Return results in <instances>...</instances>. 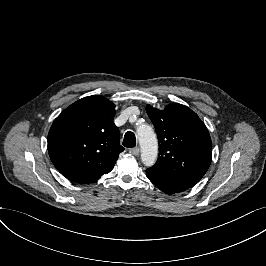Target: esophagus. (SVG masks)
<instances>
[{"label": "esophagus", "instance_id": "obj_1", "mask_svg": "<svg viewBox=\"0 0 266 266\" xmlns=\"http://www.w3.org/2000/svg\"><path fill=\"white\" fill-rule=\"evenodd\" d=\"M129 152H130L132 155H134V156H138L140 150H139V148L136 147V148H131V149L129 150Z\"/></svg>", "mask_w": 266, "mask_h": 266}]
</instances>
